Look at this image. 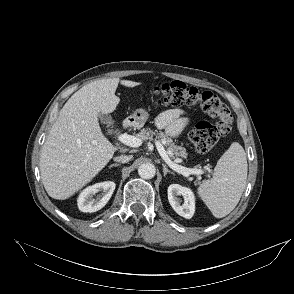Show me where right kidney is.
Here are the masks:
<instances>
[{
    "label": "right kidney",
    "instance_id": "ca27d5eb",
    "mask_svg": "<svg viewBox=\"0 0 294 294\" xmlns=\"http://www.w3.org/2000/svg\"><path fill=\"white\" fill-rule=\"evenodd\" d=\"M115 187L116 185L112 181L96 183L87 187L80 193L77 199L79 210L92 213L102 209L111 198ZM100 191L101 194L94 198V195Z\"/></svg>",
    "mask_w": 294,
    "mask_h": 294
}]
</instances>
